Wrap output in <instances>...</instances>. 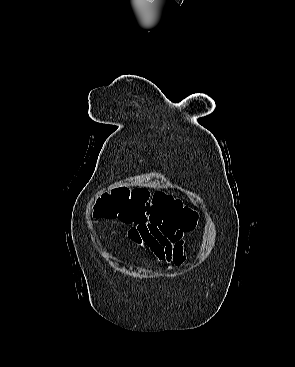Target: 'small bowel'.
Listing matches in <instances>:
<instances>
[{
    "label": "small bowel",
    "mask_w": 295,
    "mask_h": 367,
    "mask_svg": "<svg viewBox=\"0 0 295 367\" xmlns=\"http://www.w3.org/2000/svg\"><path fill=\"white\" fill-rule=\"evenodd\" d=\"M127 238L149 252L157 261L180 266L186 260L183 230L169 221L131 223Z\"/></svg>",
    "instance_id": "1"
}]
</instances>
